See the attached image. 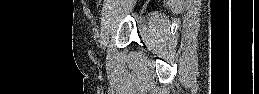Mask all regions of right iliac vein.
<instances>
[{
	"label": "right iliac vein",
	"instance_id": "1",
	"mask_svg": "<svg viewBox=\"0 0 259 94\" xmlns=\"http://www.w3.org/2000/svg\"><path fill=\"white\" fill-rule=\"evenodd\" d=\"M111 22H112V8L109 6L106 11L105 20L102 24L101 32H100V45L103 49H105L109 34L111 30Z\"/></svg>",
	"mask_w": 259,
	"mask_h": 94
}]
</instances>
